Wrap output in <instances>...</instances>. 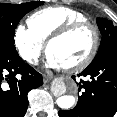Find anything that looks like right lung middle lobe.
<instances>
[{"label": "right lung middle lobe", "mask_w": 117, "mask_h": 117, "mask_svg": "<svg viewBox=\"0 0 117 117\" xmlns=\"http://www.w3.org/2000/svg\"><path fill=\"white\" fill-rule=\"evenodd\" d=\"M41 1L22 4L0 3V51L16 52L14 46V32L20 19L42 5Z\"/></svg>", "instance_id": "right-lung-middle-lobe-1"}]
</instances>
